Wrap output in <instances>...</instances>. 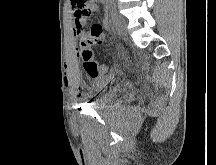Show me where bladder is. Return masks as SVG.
I'll use <instances>...</instances> for the list:
<instances>
[{"mask_svg": "<svg viewBox=\"0 0 216 165\" xmlns=\"http://www.w3.org/2000/svg\"><path fill=\"white\" fill-rule=\"evenodd\" d=\"M120 76H99L93 82L96 96L94 97L91 106L97 110L107 109L118 95V90L115 86L119 85Z\"/></svg>", "mask_w": 216, "mask_h": 165, "instance_id": "1", "label": "bladder"}]
</instances>
